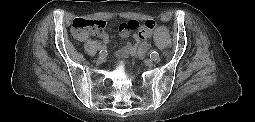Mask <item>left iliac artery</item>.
Instances as JSON below:
<instances>
[{
    "label": "left iliac artery",
    "mask_w": 255,
    "mask_h": 122,
    "mask_svg": "<svg viewBox=\"0 0 255 122\" xmlns=\"http://www.w3.org/2000/svg\"><path fill=\"white\" fill-rule=\"evenodd\" d=\"M150 58H151L152 60H154V61H158V60H159V53L156 52V51L151 52Z\"/></svg>",
    "instance_id": "44dca946"
}]
</instances>
